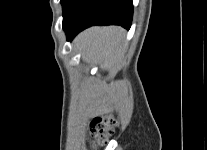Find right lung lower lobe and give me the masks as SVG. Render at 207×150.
I'll return each instance as SVG.
<instances>
[{"label":"right lung lower lobe","mask_w":207,"mask_h":150,"mask_svg":"<svg viewBox=\"0 0 207 150\" xmlns=\"http://www.w3.org/2000/svg\"><path fill=\"white\" fill-rule=\"evenodd\" d=\"M132 0H73L63 11V29L71 40L93 25L131 26Z\"/></svg>","instance_id":"obj_1"}]
</instances>
